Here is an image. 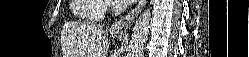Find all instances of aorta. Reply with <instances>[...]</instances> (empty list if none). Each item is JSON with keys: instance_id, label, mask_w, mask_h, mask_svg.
Instances as JSON below:
<instances>
[{"instance_id": "1", "label": "aorta", "mask_w": 249, "mask_h": 57, "mask_svg": "<svg viewBox=\"0 0 249 57\" xmlns=\"http://www.w3.org/2000/svg\"><path fill=\"white\" fill-rule=\"evenodd\" d=\"M151 22L150 9H145L137 19L130 40L128 57H141L148 38Z\"/></svg>"}]
</instances>
